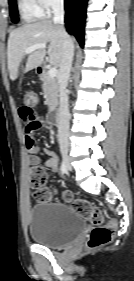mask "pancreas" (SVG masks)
<instances>
[{"instance_id":"1","label":"pancreas","mask_w":134,"mask_h":281,"mask_svg":"<svg viewBox=\"0 0 134 281\" xmlns=\"http://www.w3.org/2000/svg\"><path fill=\"white\" fill-rule=\"evenodd\" d=\"M42 89L45 95V103L49 107V111H53L58 104V83L55 78L49 76L46 72L41 77Z\"/></svg>"}]
</instances>
